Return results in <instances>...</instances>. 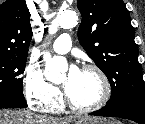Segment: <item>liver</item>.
I'll list each match as a JSON object with an SVG mask.
<instances>
[{
  "instance_id": "6515ba94",
  "label": "liver",
  "mask_w": 145,
  "mask_h": 124,
  "mask_svg": "<svg viewBox=\"0 0 145 124\" xmlns=\"http://www.w3.org/2000/svg\"><path fill=\"white\" fill-rule=\"evenodd\" d=\"M72 118L51 119L25 111L0 110V124H70Z\"/></svg>"
}]
</instances>
